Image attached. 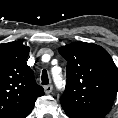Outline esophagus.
Returning a JSON list of instances; mask_svg holds the SVG:
<instances>
[{
  "label": "esophagus",
  "mask_w": 118,
  "mask_h": 118,
  "mask_svg": "<svg viewBox=\"0 0 118 118\" xmlns=\"http://www.w3.org/2000/svg\"><path fill=\"white\" fill-rule=\"evenodd\" d=\"M52 90H53L52 85L44 86V91H45L46 94H50L52 92Z\"/></svg>",
  "instance_id": "esophagus-1"
}]
</instances>
